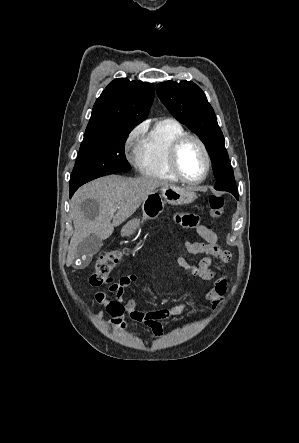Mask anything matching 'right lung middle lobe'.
<instances>
[{
	"label": "right lung middle lobe",
	"mask_w": 299,
	"mask_h": 443,
	"mask_svg": "<svg viewBox=\"0 0 299 443\" xmlns=\"http://www.w3.org/2000/svg\"><path fill=\"white\" fill-rule=\"evenodd\" d=\"M134 126H116L85 134L74 166L70 188L117 172L131 169L124 143Z\"/></svg>",
	"instance_id": "obj_1"
}]
</instances>
